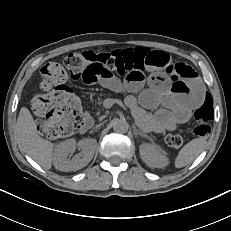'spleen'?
<instances>
[{"instance_id": "1", "label": "spleen", "mask_w": 231, "mask_h": 231, "mask_svg": "<svg viewBox=\"0 0 231 231\" xmlns=\"http://www.w3.org/2000/svg\"><path fill=\"white\" fill-rule=\"evenodd\" d=\"M206 139L199 137L188 142L179 151L175 159V167L182 168L192 163L205 149Z\"/></svg>"}]
</instances>
